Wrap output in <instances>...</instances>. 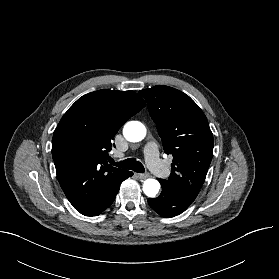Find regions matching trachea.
Instances as JSON below:
<instances>
[{
  "label": "trachea",
  "instance_id": "1",
  "mask_svg": "<svg viewBox=\"0 0 279 279\" xmlns=\"http://www.w3.org/2000/svg\"><path fill=\"white\" fill-rule=\"evenodd\" d=\"M111 163L119 168L133 170L138 173H144L145 169L141 162L137 161L135 158H129L120 162H114L111 159Z\"/></svg>",
  "mask_w": 279,
  "mask_h": 279
}]
</instances>
